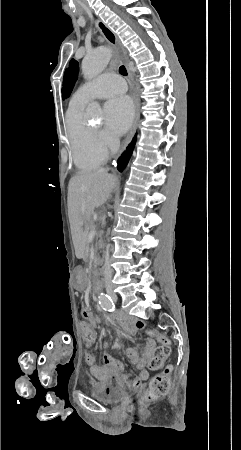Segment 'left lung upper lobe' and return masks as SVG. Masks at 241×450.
I'll return each mask as SVG.
<instances>
[{
  "instance_id": "1",
  "label": "left lung upper lobe",
  "mask_w": 241,
  "mask_h": 450,
  "mask_svg": "<svg viewBox=\"0 0 241 450\" xmlns=\"http://www.w3.org/2000/svg\"><path fill=\"white\" fill-rule=\"evenodd\" d=\"M79 72V64L76 60L72 59L69 63V67L65 70L62 88V98L69 97L75 81L77 80Z\"/></svg>"
}]
</instances>
